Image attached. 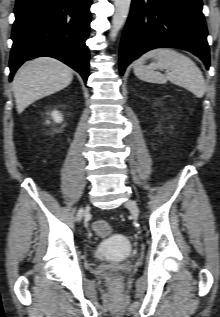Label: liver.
Returning <instances> with one entry per match:
<instances>
[{"label":"liver","instance_id":"obj_1","mask_svg":"<svg viewBox=\"0 0 220 317\" xmlns=\"http://www.w3.org/2000/svg\"><path fill=\"white\" fill-rule=\"evenodd\" d=\"M73 70L50 57H41L24 64L13 79L17 112L22 113L33 102L67 87Z\"/></svg>","mask_w":220,"mask_h":317}]
</instances>
